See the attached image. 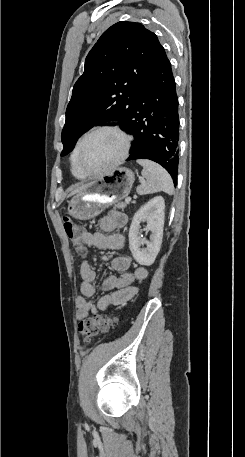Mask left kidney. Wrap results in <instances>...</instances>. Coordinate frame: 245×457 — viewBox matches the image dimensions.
<instances>
[{
	"mask_svg": "<svg viewBox=\"0 0 245 457\" xmlns=\"http://www.w3.org/2000/svg\"><path fill=\"white\" fill-rule=\"evenodd\" d=\"M165 202L163 196H154L143 204L133 216L129 229V249L139 265L150 267L153 265L162 245ZM147 220L145 231H151L150 241L141 239L140 222ZM141 245H146V249H140Z\"/></svg>",
	"mask_w": 245,
	"mask_h": 457,
	"instance_id": "left-kidney-1",
	"label": "left kidney"
}]
</instances>
